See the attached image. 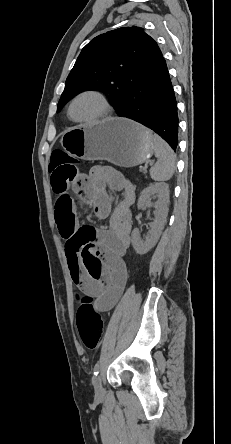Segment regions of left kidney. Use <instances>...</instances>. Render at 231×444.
<instances>
[{"instance_id":"1","label":"left kidney","mask_w":231,"mask_h":444,"mask_svg":"<svg viewBox=\"0 0 231 444\" xmlns=\"http://www.w3.org/2000/svg\"><path fill=\"white\" fill-rule=\"evenodd\" d=\"M152 195H157L158 200L155 204V219L150 224L151 229L147 233L145 240L141 239L138 229H134L131 234L133 248L140 255L146 254L156 245L164 228L168 214L169 185L163 182L150 184L141 192L138 209H143Z\"/></svg>"}]
</instances>
